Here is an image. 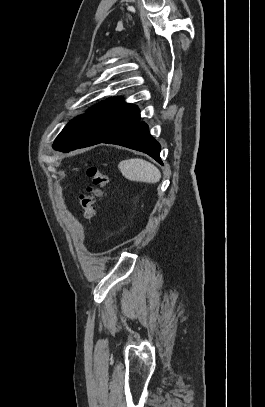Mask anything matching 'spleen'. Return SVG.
Here are the masks:
<instances>
[{
  "label": "spleen",
  "instance_id": "1",
  "mask_svg": "<svg viewBox=\"0 0 265 407\" xmlns=\"http://www.w3.org/2000/svg\"><path fill=\"white\" fill-rule=\"evenodd\" d=\"M122 175L131 181L157 183L161 179V172L150 162L133 158L121 161L118 165Z\"/></svg>",
  "mask_w": 265,
  "mask_h": 407
}]
</instances>
